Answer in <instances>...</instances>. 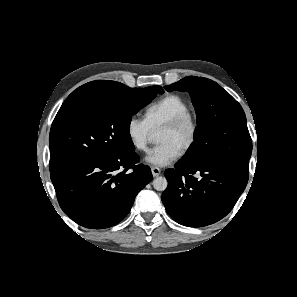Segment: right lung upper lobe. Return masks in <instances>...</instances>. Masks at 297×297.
<instances>
[{
	"mask_svg": "<svg viewBox=\"0 0 297 297\" xmlns=\"http://www.w3.org/2000/svg\"><path fill=\"white\" fill-rule=\"evenodd\" d=\"M104 82L105 80H96L80 86L66 98L61 107L108 94L104 91V88H108Z\"/></svg>",
	"mask_w": 297,
	"mask_h": 297,
	"instance_id": "right-lung-upper-lobe-1",
	"label": "right lung upper lobe"
}]
</instances>
